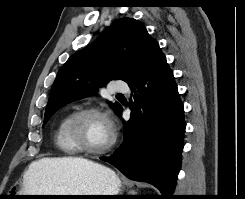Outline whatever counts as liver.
<instances>
[{"label":"liver","mask_w":245,"mask_h":199,"mask_svg":"<svg viewBox=\"0 0 245 199\" xmlns=\"http://www.w3.org/2000/svg\"><path fill=\"white\" fill-rule=\"evenodd\" d=\"M96 163L79 157L42 158L32 162L23 177L24 185L33 192L45 189L46 177L68 173L75 167H89Z\"/></svg>","instance_id":"6515ba94"}]
</instances>
